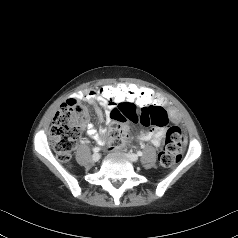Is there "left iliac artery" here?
Instances as JSON below:
<instances>
[{"label":"left iliac artery","mask_w":238,"mask_h":238,"mask_svg":"<svg viewBox=\"0 0 238 238\" xmlns=\"http://www.w3.org/2000/svg\"><path fill=\"white\" fill-rule=\"evenodd\" d=\"M137 155H138V156H142L143 153H142L141 151H138V152H137Z\"/></svg>","instance_id":"44dca946"}]
</instances>
